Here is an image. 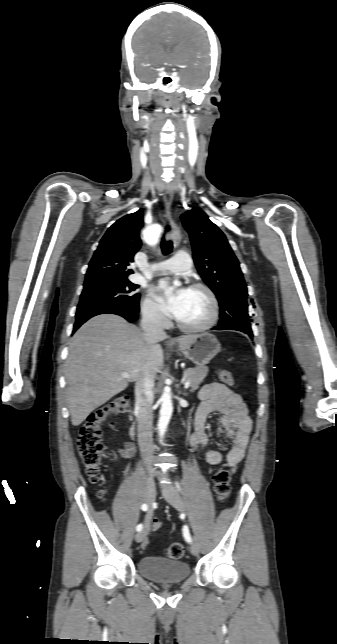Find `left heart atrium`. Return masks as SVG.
Wrapping results in <instances>:
<instances>
[{"mask_svg": "<svg viewBox=\"0 0 337 644\" xmlns=\"http://www.w3.org/2000/svg\"><path fill=\"white\" fill-rule=\"evenodd\" d=\"M168 289L169 283L167 281L159 283L157 287L158 300L163 310L176 318L186 299L188 289L181 288L173 293H168Z\"/></svg>", "mask_w": 337, "mask_h": 644, "instance_id": "39dd6f15", "label": "left heart atrium"}]
</instances>
